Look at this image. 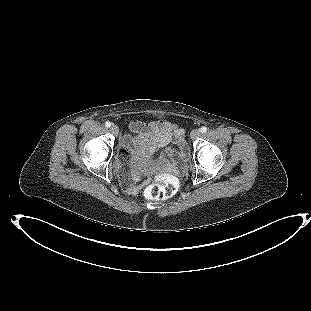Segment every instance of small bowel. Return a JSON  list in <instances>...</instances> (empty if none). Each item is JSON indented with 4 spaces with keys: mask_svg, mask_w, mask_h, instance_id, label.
Here are the masks:
<instances>
[{
    "mask_svg": "<svg viewBox=\"0 0 311 311\" xmlns=\"http://www.w3.org/2000/svg\"><path fill=\"white\" fill-rule=\"evenodd\" d=\"M131 131L135 134L136 138L132 135L124 136L121 140L123 150L128 151L130 154L129 149L139 142L143 146V158L142 161L133 166L131 171L120 166V172L125 179V186L129 191H134L133 181L144 174L146 158L170 143L176 144L179 150L167 152L165 159L174 160V169L176 172H180L183 169L188 156V148L183 138V131L176 124L165 120H158L151 124L134 121L131 124Z\"/></svg>",
    "mask_w": 311,
    "mask_h": 311,
    "instance_id": "c3829d8e",
    "label": "small bowel"
}]
</instances>
